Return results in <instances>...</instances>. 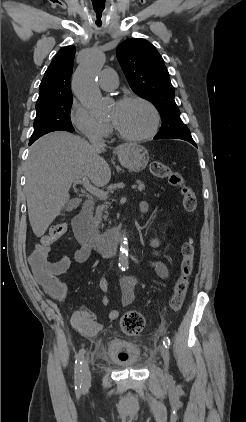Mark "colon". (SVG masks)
<instances>
[{
    "label": "colon",
    "instance_id": "colon-1",
    "mask_svg": "<svg viewBox=\"0 0 246 422\" xmlns=\"http://www.w3.org/2000/svg\"><path fill=\"white\" fill-rule=\"evenodd\" d=\"M151 173L158 178H166L172 186L179 188L182 196L184 210L193 213L197 209V196L194 191L185 184L182 176L172 172L169 167L159 161L150 165ZM67 231L64 223H57L50 227L40 243L35 247L29 258L30 266L37 278H44L48 273L49 261L47 259L50 246L61 238ZM182 257L179 263V274L173 286L170 299V308L178 312L185 301L189 286V278L193 271L195 260V245L192 239H188L182 245ZM145 327V319L137 311H128L120 319V328L130 336L139 335Z\"/></svg>",
    "mask_w": 246,
    "mask_h": 422
}]
</instances>
